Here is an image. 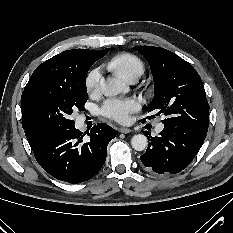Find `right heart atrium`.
Here are the masks:
<instances>
[{
	"instance_id": "right-heart-atrium-1",
	"label": "right heart atrium",
	"mask_w": 233,
	"mask_h": 233,
	"mask_svg": "<svg viewBox=\"0 0 233 233\" xmlns=\"http://www.w3.org/2000/svg\"><path fill=\"white\" fill-rule=\"evenodd\" d=\"M101 80V70L95 68L91 70L86 77V89L90 94H96L99 91V85Z\"/></svg>"
}]
</instances>
